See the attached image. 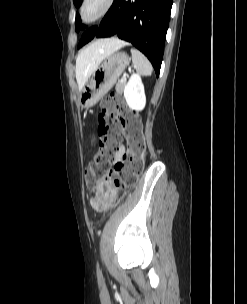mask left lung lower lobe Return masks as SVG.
I'll return each mask as SVG.
<instances>
[{
  "label": "left lung lower lobe",
  "mask_w": 247,
  "mask_h": 304,
  "mask_svg": "<svg viewBox=\"0 0 247 304\" xmlns=\"http://www.w3.org/2000/svg\"><path fill=\"white\" fill-rule=\"evenodd\" d=\"M173 0H114L99 26L81 36L78 48L93 38L118 36L132 43L159 76Z\"/></svg>",
  "instance_id": "left-lung-lower-lobe-1"
}]
</instances>
